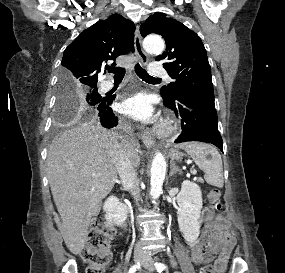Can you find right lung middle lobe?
<instances>
[{
    "instance_id": "dd1d6c3e",
    "label": "right lung middle lobe",
    "mask_w": 285,
    "mask_h": 273,
    "mask_svg": "<svg viewBox=\"0 0 285 273\" xmlns=\"http://www.w3.org/2000/svg\"><path fill=\"white\" fill-rule=\"evenodd\" d=\"M97 85H80L61 74L57 92V122L97 117V107L103 99Z\"/></svg>"
}]
</instances>
